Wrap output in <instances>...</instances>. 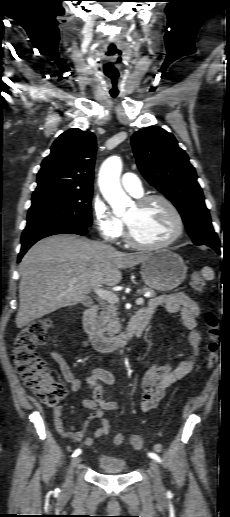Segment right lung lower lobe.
<instances>
[{
  "instance_id": "1",
  "label": "right lung lower lobe",
  "mask_w": 230,
  "mask_h": 517,
  "mask_svg": "<svg viewBox=\"0 0 230 517\" xmlns=\"http://www.w3.org/2000/svg\"><path fill=\"white\" fill-rule=\"evenodd\" d=\"M88 227L80 226L68 222H44L31 226H26L21 237V251L18 256V262L21 260L27 250L38 240L55 234L71 233L85 235Z\"/></svg>"
}]
</instances>
